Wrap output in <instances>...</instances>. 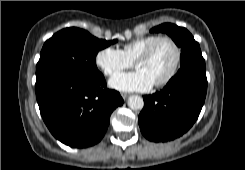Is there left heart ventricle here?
I'll use <instances>...</instances> for the list:
<instances>
[{"label": "left heart ventricle", "instance_id": "b2bd125f", "mask_svg": "<svg viewBox=\"0 0 245 170\" xmlns=\"http://www.w3.org/2000/svg\"><path fill=\"white\" fill-rule=\"evenodd\" d=\"M175 60V52L168 41L159 42L152 54L137 63L136 68L144 71L153 83L163 79L171 70Z\"/></svg>", "mask_w": 245, "mask_h": 170}]
</instances>
